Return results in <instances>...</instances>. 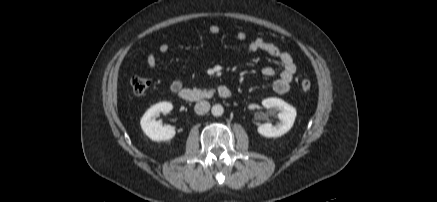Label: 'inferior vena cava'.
<instances>
[{"mask_svg":"<svg viewBox=\"0 0 437 202\" xmlns=\"http://www.w3.org/2000/svg\"><path fill=\"white\" fill-rule=\"evenodd\" d=\"M194 110L198 115H204L210 110V103L208 101H200L195 104Z\"/></svg>","mask_w":437,"mask_h":202,"instance_id":"602c4592","label":"inferior vena cava"}]
</instances>
